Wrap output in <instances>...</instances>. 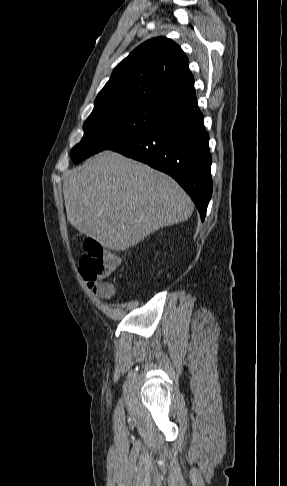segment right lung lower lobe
<instances>
[{"instance_id": "98d812e1", "label": "right lung lower lobe", "mask_w": 287, "mask_h": 486, "mask_svg": "<svg viewBox=\"0 0 287 486\" xmlns=\"http://www.w3.org/2000/svg\"><path fill=\"white\" fill-rule=\"evenodd\" d=\"M209 135L197 100L169 110L144 132L111 148L172 176L190 195L204 221L212 194Z\"/></svg>"}]
</instances>
